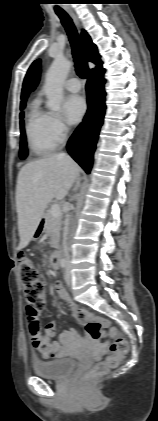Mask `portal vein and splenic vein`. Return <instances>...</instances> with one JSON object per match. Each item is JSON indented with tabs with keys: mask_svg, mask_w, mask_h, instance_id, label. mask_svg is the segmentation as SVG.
<instances>
[{
	"mask_svg": "<svg viewBox=\"0 0 158 421\" xmlns=\"http://www.w3.org/2000/svg\"><path fill=\"white\" fill-rule=\"evenodd\" d=\"M51 213L53 216H58L61 214L60 206L59 204H53L51 207Z\"/></svg>",
	"mask_w": 158,
	"mask_h": 421,
	"instance_id": "obj_1",
	"label": "portal vein and splenic vein"
}]
</instances>
